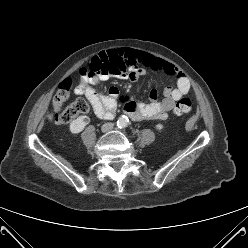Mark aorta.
Segmentation results:
<instances>
[{
  "instance_id": "aorta-1",
  "label": "aorta",
  "mask_w": 248,
  "mask_h": 248,
  "mask_svg": "<svg viewBox=\"0 0 248 248\" xmlns=\"http://www.w3.org/2000/svg\"><path fill=\"white\" fill-rule=\"evenodd\" d=\"M128 117L123 115L121 117H119L118 121H117V126L120 127V128H124L127 126L128 124Z\"/></svg>"
}]
</instances>
